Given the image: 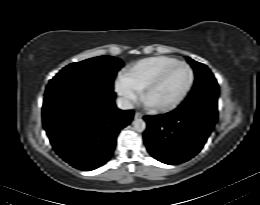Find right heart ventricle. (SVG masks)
<instances>
[{
	"label": "right heart ventricle",
	"instance_id": "e07e8e85",
	"mask_svg": "<svg viewBox=\"0 0 260 205\" xmlns=\"http://www.w3.org/2000/svg\"><path fill=\"white\" fill-rule=\"evenodd\" d=\"M176 61L179 60L165 55L148 57L135 63L124 73L123 78L141 91L162 68Z\"/></svg>",
	"mask_w": 260,
	"mask_h": 205
}]
</instances>
